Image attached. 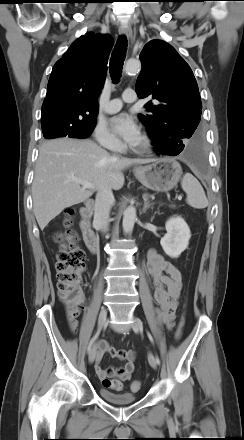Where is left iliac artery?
<instances>
[{
    "label": "left iliac artery",
    "mask_w": 244,
    "mask_h": 440,
    "mask_svg": "<svg viewBox=\"0 0 244 440\" xmlns=\"http://www.w3.org/2000/svg\"><path fill=\"white\" fill-rule=\"evenodd\" d=\"M148 337H149L150 341L153 342V338H152L151 334L148 333ZM155 362H156V364H160V359L158 356H156Z\"/></svg>",
    "instance_id": "left-iliac-artery-1"
}]
</instances>
